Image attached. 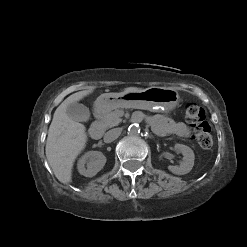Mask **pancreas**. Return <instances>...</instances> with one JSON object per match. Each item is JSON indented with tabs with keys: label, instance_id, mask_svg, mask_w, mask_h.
Returning <instances> with one entry per match:
<instances>
[{
	"label": "pancreas",
	"instance_id": "1",
	"mask_svg": "<svg viewBox=\"0 0 247 247\" xmlns=\"http://www.w3.org/2000/svg\"><path fill=\"white\" fill-rule=\"evenodd\" d=\"M123 113L124 112L122 109H115L114 111L104 114L98 123L103 129L117 126L122 121L120 117L123 115Z\"/></svg>",
	"mask_w": 247,
	"mask_h": 247
}]
</instances>
